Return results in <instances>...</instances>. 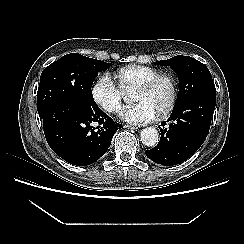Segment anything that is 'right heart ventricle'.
I'll return each mask as SVG.
<instances>
[{"mask_svg":"<svg viewBox=\"0 0 244 244\" xmlns=\"http://www.w3.org/2000/svg\"><path fill=\"white\" fill-rule=\"evenodd\" d=\"M159 73L160 71L153 67L141 65H128L119 68L114 73V80L116 87L123 94L126 92L134 91L145 81L149 80L150 78Z\"/></svg>","mask_w":244,"mask_h":244,"instance_id":"1","label":"right heart ventricle"}]
</instances>
